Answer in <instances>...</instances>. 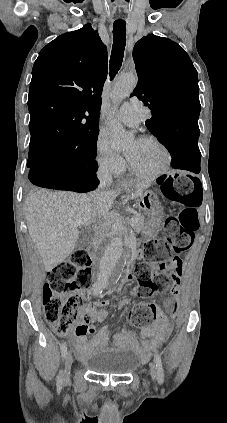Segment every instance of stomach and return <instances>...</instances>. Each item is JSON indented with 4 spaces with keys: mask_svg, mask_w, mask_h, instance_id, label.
<instances>
[{
    "mask_svg": "<svg viewBox=\"0 0 227 423\" xmlns=\"http://www.w3.org/2000/svg\"><path fill=\"white\" fill-rule=\"evenodd\" d=\"M131 182H125V184H119V188H124V190H130ZM154 194L153 192H144L142 196H139L137 202V208L141 211H150L154 208Z\"/></svg>",
    "mask_w": 227,
    "mask_h": 423,
    "instance_id": "0dacf381",
    "label": "stomach"
}]
</instances>
